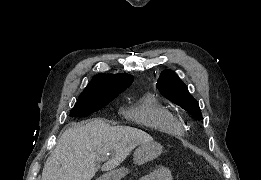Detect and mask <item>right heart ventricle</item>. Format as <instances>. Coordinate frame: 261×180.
Wrapping results in <instances>:
<instances>
[{"instance_id":"obj_1","label":"right heart ventricle","mask_w":261,"mask_h":180,"mask_svg":"<svg viewBox=\"0 0 261 180\" xmlns=\"http://www.w3.org/2000/svg\"><path fill=\"white\" fill-rule=\"evenodd\" d=\"M121 121H140L141 131L150 133H165V138H138L155 139L156 142L181 141L186 130L180 119L174 112L155 94L147 93L139 99L128 102L121 108Z\"/></svg>"}]
</instances>
